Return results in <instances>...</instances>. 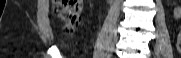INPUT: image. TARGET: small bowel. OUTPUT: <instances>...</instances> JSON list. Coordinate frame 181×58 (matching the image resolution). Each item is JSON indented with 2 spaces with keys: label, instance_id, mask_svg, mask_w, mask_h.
Returning <instances> with one entry per match:
<instances>
[{
  "label": "small bowel",
  "instance_id": "c3829d8e",
  "mask_svg": "<svg viewBox=\"0 0 181 58\" xmlns=\"http://www.w3.org/2000/svg\"><path fill=\"white\" fill-rule=\"evenodd\" d=\"M174 16H175V18H180L181 17V7H176L174 9Z\"/></svg>",
  "mask_w": 181,
  "mask_h": 58
}]
</instances>
